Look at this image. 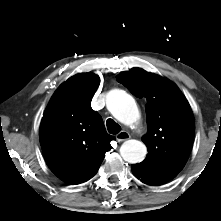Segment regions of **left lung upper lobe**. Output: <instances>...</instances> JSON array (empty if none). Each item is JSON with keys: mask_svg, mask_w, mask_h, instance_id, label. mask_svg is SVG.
<instances>
[{"mask_svg": "<svg viewBox=\"0 0 221 221\" xmlns=\"http://www.w3.org/2000/svg\"><path fill=\"white\" fill-rule=\"evenodd\" d=\"M117 81L138 98L145 97L148 131L143 142L147 157L131 166L135 177L149 185H160L183 169L195 132L190 105L170 80L141 68L121 72Z\"/></svg>", "mask_w": 221, "mask_h": 221, "instance_id": "5c2ea615", "label": "left lung upper lobe"}]
</instances>
